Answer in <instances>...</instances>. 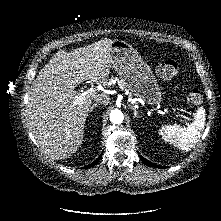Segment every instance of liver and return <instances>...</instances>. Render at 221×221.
<instances>
[{
    "label": "liver",
    "mask_w": 221,
    "mask_h": 221,
    "mask_svg": "<svg viewBox=\"0 0 221 221\" xmlns=\"http://www.w3.org/2000/svg\"><path fill=\"white\" fill-rule=\"evenodd\" d=\"M113 41L100 40L68 53L59 50L33 81L29 124L37 143L52 159H66L81 146L96 93L77 103L74 89L86 80L105 83L110 74L109 49Z\"/></svg>",
    "instance_id": "1"
}]
</instances>
